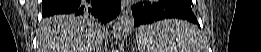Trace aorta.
Masks as SVG:
<instances>
[{"label": "aorta", "instance_id": "aorta-1", "mask_svg": "<svg viewBox=\"0 0 261 52\" xmlns=\"http://www.w3.org/2000/svg\"><path fill=\"white\" fill-rule=\"evenodd\" d=\"M133 25H134V19L132 15L125 14L120 16L113 27L114 36L119 38L122 37L129 30L132 29Z\"/></svg>", "mask_w": 261, "mask_h": 52}]
</instances>
